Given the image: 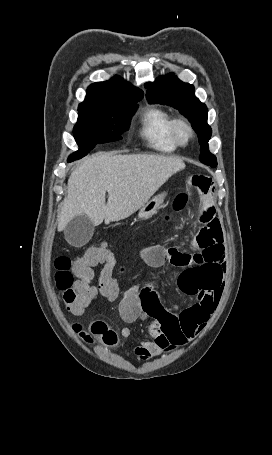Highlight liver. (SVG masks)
Returning a JSON list of instances; mask_svg holds the SVG:
<instances>
[{
  "label": "liver",
  "instance_id": "obj_1",
  "mask_svg": "<svg viewBox=\"0 0 272 455\" xmlns=\"http://www.w3.org/2000/svg\"><path fill=\"white\" fill-rule=\"evenodd\" d=\"M184 168L181 159L162 155L110 152L84 159L68 179L67 197L58 214V231L78 215H86L94 226L103 220L109 223L125 219Z\"/></svg>",
  "mask_w": 272,
  "mask_h": 455
}]
</instances>
